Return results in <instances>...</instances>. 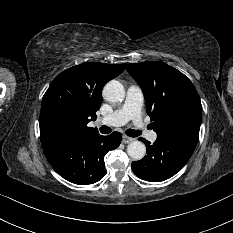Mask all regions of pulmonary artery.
Wrapping results in <instances>:
<instances>
[{
    "label": "pulmonary artery",
    "instance_id": "pulmonary-artery-1",
    "mask_svg": "<svg viewBox=\"0 0 233 233\" xmlns=\"http://www.w3.org/2000/svg\"><path fill=\"white\" fill-rule=\"evenodd\" d=\"M143 104L144 95L142 90L136 85H131L127 88L124 103L112 113L100 118L98 122L109 126H119L133 120L136 125L141 127L144 136L149 141L154 142L157 139V133L146 129L142 123Z\"/></svg>",
    "mask_w": 233,
    "mask_h": 233
}]
</instances>
